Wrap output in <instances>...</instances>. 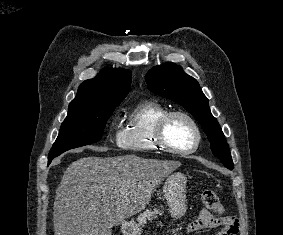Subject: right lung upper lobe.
<instances>
[{
  "label": "right lung upper lobe",
  "instance_id": "right-lung-upper-lobe-1",
  "mask_svg": "<svg viewBox=\"0 0 283 235\" xmlns=\"http://www.w3.org/2000/svg\"><path fill=\"white\" fill-rule=\"evenodd\" d=\"M130 84V71L105 69L94 79L84 81L70 104L119 102L128 94Z\"/></svg>",
  "mask_w": 283,
  "mask_h": 235
}]
</instances>
